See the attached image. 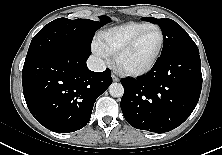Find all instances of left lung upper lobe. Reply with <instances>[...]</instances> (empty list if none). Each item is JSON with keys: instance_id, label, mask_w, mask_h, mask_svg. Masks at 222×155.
Masks as SVG:
<instances>
[{"instance_id": "left-lung-upper-lobe-1", "label": "left lung upper lobe", "mask_w": 222, "mask_h": 155, "mask_svg": "<svg viewBox=\"0 0 222 155\" xmlns=\"http://www.w3.org/2000/svg\"><path fill=\"white\" fill-rule=\"evenodd\" d=\"M143 19L158 24L162 30L164 45L161 56L181 50H198L191 37L175 21L153 17H143Z\"/></svg>"}]
</instances>
